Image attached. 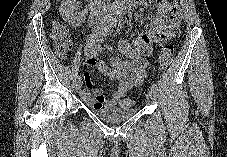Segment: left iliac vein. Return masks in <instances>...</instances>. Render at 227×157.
<instances>
[{
    "mask_svg": "<svg viewBox=\"0 0 227 157\" xmlns=\"http://www.w3.org/2000/svg\"><path fill=\"white\" fill-rule=\"evenodd\" d=\"M148 96L151 100H156L157 98V92L155 89L151 88L148 92Z\"/></svg>",
    "mask_w": 227,
    "mask_h": 157,
    "instance_id": "1",
    "label": "left iliac vein"
}]
</instances>
